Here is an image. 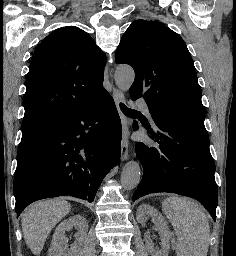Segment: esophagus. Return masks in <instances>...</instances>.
Segmentation results:
<instances>
[{"label":"esophagus","instance_id":"esophagus-1","mask_svg":"<svg viewBox=\"0 0 236 256\" xmlns=\"http://www.w3.org/2000/svg\"><path fill=\"white\" fill-rule=\"evenodd\" d=\"M113 99L116 104L119 116L121 118V124H122L121 160L125 161L128 158V141H129L130 132H129V122L120 108V103L124 102V95L120 90L114 88Z\"/></svg>","mask_w":236,"mask_h":256}]
</instances>
